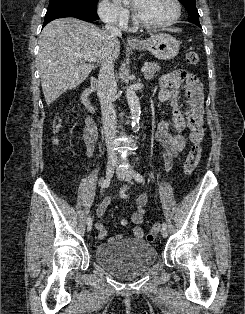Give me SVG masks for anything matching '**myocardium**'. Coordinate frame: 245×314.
<instances>
[{"mask_svg": "<svg viewBox=\"0 0 245 314\" xmlns=\"http://www.w3.org/2000/svg\"><path fill=\"white\" fill-rule=\"evenodd\" d=\"M175 6V13L173 15L172 18L163 21V22H155V23H149V22H145L139 19V17L137 16V14L134 12L133 13V22L135 24V26H139V27H143V28H147V29H156V28H162V27H167L170 26L174 23H176L179 18L181 17L182 14V6L180 3V0H172Z\"/></svg>", "mask_w": 245, "mask_h": 314, "instance_id": "f54148a6", "label": "myocardium"}]
</instances>
